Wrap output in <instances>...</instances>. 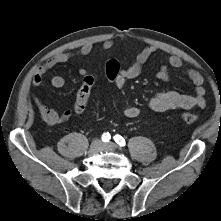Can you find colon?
Segmentation results:
<instances>
[{"label": "colon", "mask_w": 221, "mask_h": 221, "mask_svg": "<svg viewBox=\"0 0 221 221\" xmlns=\"http://www.w3.org/2000/svg\"><path fill=\"white\" fill-rule=\"evenodd\" d=\"M121 72V67L118 61L114 58H109L104 63V74L103 79L107 83L114 82ZM95 79L92 75H87L83 78L81 87L77 92L76 102H75V112L81 113L86 108L88 99L92 87L94 85ZM181 121L186 125H191L199 120V115L191 112H183L180 116Z\"/></svg>", "instance_id": "1"}]
</instances>
